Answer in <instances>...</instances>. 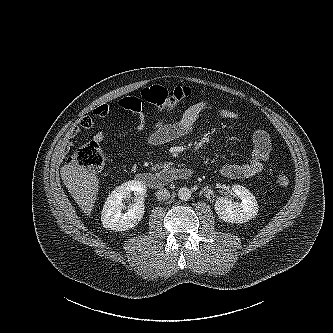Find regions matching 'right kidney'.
Wrapping results in <instances>:
<instances>
[{"label": "right kidney", "instance_id": "obj_1", "mask_svg": "<svg viewBox=\"0 0 333 333\" xmlns=\"http://www.w3.org/2000/svg\"><path fill=\"white\" fill-rule=\"evenodd\" d=\"M146 185L140 181L132 180L123 183L108 196L101 213L103 227L113 231H126L135 227L144 215V197ZM133 192L135 203L124 212L123 200Z\"/></svg>", "mask_w": 333, "mask_h": 333}]
</instances>
